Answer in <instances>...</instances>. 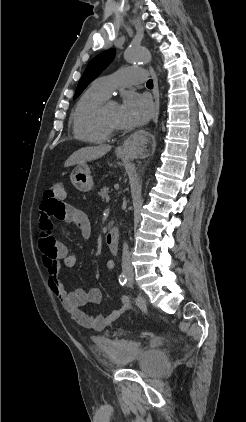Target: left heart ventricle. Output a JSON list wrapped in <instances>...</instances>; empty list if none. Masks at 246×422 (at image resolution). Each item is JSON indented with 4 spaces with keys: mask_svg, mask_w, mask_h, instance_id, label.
Wrapping results in <instances>:
<instances>
[{
    "mask_svg": "<svg viewBox=\"0 0 246 422\" xmlns=\"http://www.w3.org/2000/svg\"><path fill=\"white\" fill-rule=\"evenodd\" d=\"M119 106L115 103H110L106 108V117L109 122L115 126H119Z\"/></svg>",
    "mask_w": 246,
    "mask_h": 422,
    "instance_id": "left-heart-ventricle-1",
    "label": "left heart ventricle"
}]
</instances>
